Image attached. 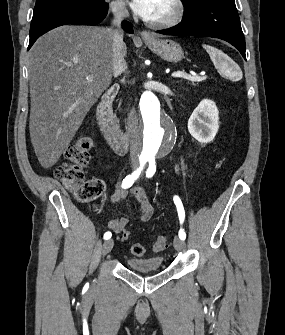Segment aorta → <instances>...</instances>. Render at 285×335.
Wrapping results in <instances>:
<instances>
[{
    "label": "aorta",
    "instance_id": "1",
    "mask_svg": "<svg viewBox=\"0 0 285 335\" xmlns=\"http://www.w3.org/2000/svg\"><path fill=\"white\" fill-rule=\"evenodd\" d=\"M139 112H142L141 125L135 127L142 160H162L176 147L179 137L175 119H169L166 112L165 95H158L157 90H138Z\"/></svg>",
    "mask_w": 285,
    "mask_h": 335
}]
</instances>
